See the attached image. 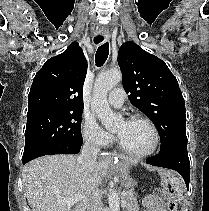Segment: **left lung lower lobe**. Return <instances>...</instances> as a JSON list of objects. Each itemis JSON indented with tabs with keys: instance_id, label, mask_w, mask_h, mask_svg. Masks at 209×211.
<instances>
[{
	"instance_id": "1",
	"label": "left lung lower lobe",
	"mask_w": 209,
	"mask_h": 211,
	"mask_svg": "<svg viewBox=\"0 0 209 211\" xmlns=\"http://www.w3.org/2000/svg\"><path fill=\"white\" fill-rule=\"evenodd\" d=\"M146 163L173 169L181 174L189 188L190 180V162L187 152V142H179L164 152H159L154 157L146 160Z\"/></svg>"
}]
</instances>
